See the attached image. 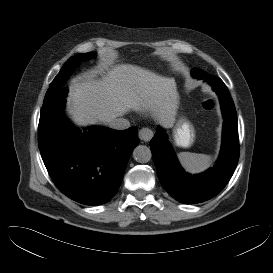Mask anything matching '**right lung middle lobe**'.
<instances>
[{
    "instance_id": "dd1d6c3e",
    "label": "right lung middle lobe",
    "mask_w": 273,
    "mask_h": 273,
    "mask_svg": "<svg viewBox=\"0 0 273 273\" xmlns=\"http://www.w3.org/2000/svg\"><path fill=\"white\" fill-rule=\"evenodd\" d=\"M95 56V53H84L78 54L76 56L71 57L67 62L63 65L60 72L54 78L50 87L45 95L44 102H47L50 98L54 96L55 93L63 89L65 83L69 76L72 75V72L75 70L76 66L80 64L81 61L87 60ZM43 102V103H44Z\"/></svg>"
}]
</instances>
